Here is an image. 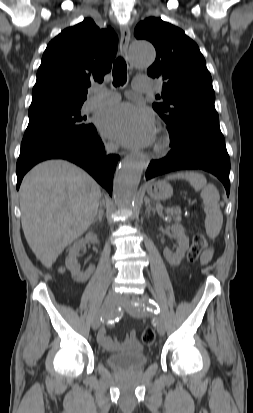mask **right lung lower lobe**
I'll return each mask as SVG.
<instances>
[{
  "instance_id": "right-lung-lower-lobe-1",
  "label": "right lung lower lobe",
  "mask_w": 253,
  "mask_h": 413,
  "mask_svg": "<svg viewBox=\"0 0 253 413\" xmlns=\"http://www.w3.org/2000/svg\"><path fill=\"white\" fill-rule=\"evenodd\" d=\"M47 159H65L84 168L112 195V181L118 155H105L96 128L73 136H64L21 147L17 161V189L23 176L37 163Z\"/></svg>"
}]
</instances>
